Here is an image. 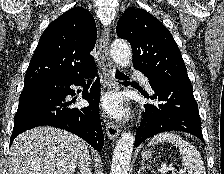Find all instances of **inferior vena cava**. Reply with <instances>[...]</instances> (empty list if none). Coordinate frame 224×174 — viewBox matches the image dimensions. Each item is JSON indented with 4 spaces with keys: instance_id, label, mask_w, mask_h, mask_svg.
<instances>
[{
    "instance_id": "1",
    "label": "inferior vena cava",
    "mask_w": 224,
    "mask_h": 174,
    "mask_svg": "<svg viewBox=\"0 0 224 174\" xmlns=\"http://www.w3.org/2000/svg\"><path fill=\"white\" fill-rule=\"evenodd\" d=\"M90 164H91V160L89 158V154H88V152H85L79 159L78 166H79L81 174H90L91 173V170L89 169Z\"/></svg>"
}]
</instances>
